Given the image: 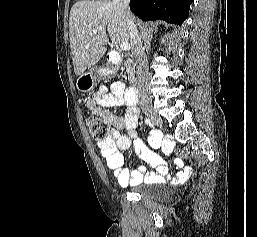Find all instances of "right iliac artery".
<instances>
[{"instance_id":"82829eb1","label":"right iliac artery","mask_w":257,"mask_h":237,"mask_svg":"<svg viewBox=\"0 0 257 237\" xmlns=\"http://www.w3.org/2000/svg\"><path fill=\"white\" fill-rule=\"evenodd\" d=\"M145 123L147 125H151V122H150V120L148 118L145 119ZM152 134L157 135V134H159V132L157 133L156 131H152Z\"/></svg>"}]
</instances>
